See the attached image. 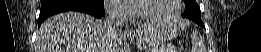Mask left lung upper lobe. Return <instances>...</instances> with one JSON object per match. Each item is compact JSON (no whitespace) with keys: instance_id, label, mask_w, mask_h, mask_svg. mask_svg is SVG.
Instances as JSON below:
<instances>
[{"instance_id":"left-lung-upper-lobe-1","label":"left lung upper lobe","mask_w":261,"mask_h":52,"mask_svg":"<svg viewBox=\"0 0 261 52\" xmlns=\"http://www.w3.org/2000/svg\"><path fill=\"white\" fill-rule=\"evenodd\" d=\"M182 16L193 20L201 26L204 25L200 16V7L196 0H185V12Z\"/></svg>"}]
</instances>
